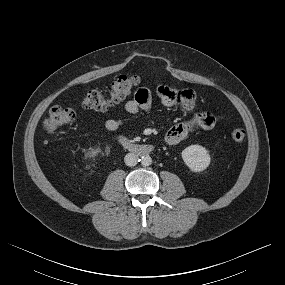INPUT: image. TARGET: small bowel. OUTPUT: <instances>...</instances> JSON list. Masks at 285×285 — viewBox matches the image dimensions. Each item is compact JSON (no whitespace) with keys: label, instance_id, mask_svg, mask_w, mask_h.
I'll return each mask as SVG.
<instances>
[{"label":"small bowel","instance_id":"small-bowel-1","mask_svg":"<svg viewBox=\"0 0 285 285\" xmlns=\"http://www.w3.org/2000/svg\"><path fill=\"white\" fill-rule=\"evenodd\" d=\"M158 95L165 105L180 104L187 110H193L195 106V95L189 89L174 90L168 86L158 87ZM152 93L146 88H139L133 99L126 101L123 108L126 113L135 115L141 111H149L152 106ZM123 124L122 119H107L104 123L106 130L116 131ZM216 125V118L208 112L194 113L188 121L179 123L171 127L164 136L167 145H175L184 140L194 129H213Z\"/></svg>","mask_w":285,"mask_h":285}]
</instances>
